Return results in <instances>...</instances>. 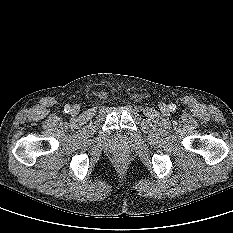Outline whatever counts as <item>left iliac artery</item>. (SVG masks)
<instances>
[{
	"mask_svg": "<svg viewBox=\"0 0 233 233\" xmlns=\"http://www.w3.org/2000/svg\"><path fill=\"white\" fill-rule=\"evenodd\" d=\"M170 109L171 110H175L176 109V106L174 104L170 105Z\"/></svg>",
	"mask_w": 233,
	"mask_h": 233,
	"instance_id": "obj_1",
	"label": "left iliac artery"
}]
</instances>
